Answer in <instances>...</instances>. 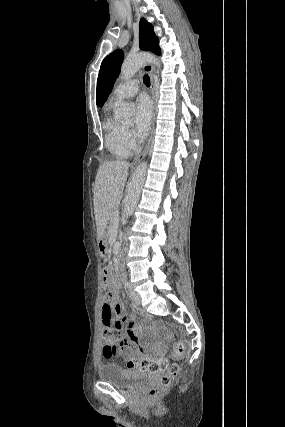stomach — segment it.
Instances as JSON below:
<instances>
[{
    "label": "stomach",
    "instance_id": "obj_1",
    "mask_svg": "<svg viewBox=\"0 0 285 427\" xmlns=\"http://www.w3.org/2000/svg\"><path fill=\"white\" fill-rule=\"evenodd\" d=\"M97 247L102 256H105L109 253L110 248H109V243L106 235L100 236L97 243Z\"/></svg>",
    "mask_w": 285,
    "mask_h": 427
}]
</instances>
